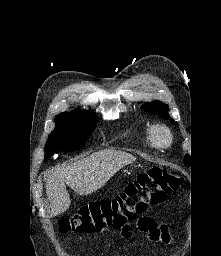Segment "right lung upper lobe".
Wrapping results in <instances>:
<instances>
[{"label":"right lung upper lobe","mask_w":221,"mask_h":256,"mask_svg":"<svg viewBox=\"0 0 221 256\" xmlns=\"http://www.w3.org/2000/svg\"><path fill=\"white\" fill-rule=\"evenodd\" d=\"M81 110H75V111H72V112H63V113H61V114H59V115H67V114H72V113H78V112H80Z\"/></svg>","instance_id":"obj_1"}]
</instances>
